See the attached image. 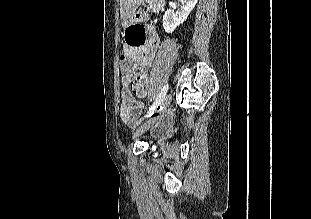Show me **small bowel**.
I'll return each instance as SVG.
<instances>
[{"mask_svg": "<svg viewBox=\"0 0 311 219\" xmlns=\"http://www.w3.org/2000/svg\"><path fill=\"white\" fill-rule=\"evenodd\" d=\"M158 43V38L151 30L150 35L148 37L143 36L138 43H129L126 41V44L123 46V52L126 56L131 57L140 67L144 68L151 65L155 57ZM141 76L146 79V74L144 72H142ZM129 81L130 77L128 75L123 76L120 118L125 124L134 126L138 123L139 117L143 111V105L136 98V94L129 90ZM165 130L166 126L163 125L158 129L157 133H162Z\"/></svg>", "mask_w": 311, "mask_h": 219, "instance_id": "1", "label": "small bowel"}]
</instances>
